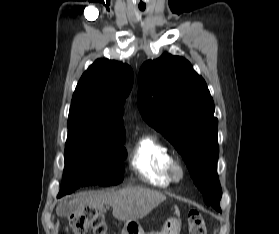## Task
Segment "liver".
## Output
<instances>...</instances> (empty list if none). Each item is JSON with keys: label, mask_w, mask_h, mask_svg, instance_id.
<instances>
[{"label": "liver", "mask_w": 279, "mask_h": 234, "mask_svg": "<svg viewBox=\"0 0 279 234\" xmlns=\"http://www.w3.org/2000/svg\"><path fill=\"white\" fill-rule=\"evenodd\" d=\"M166 200V196L143 187H127L113 192L84 193L69 203L57 207V214L66 205H87L105 211L104 205L113 208V217L119 221H137L147 216L155 207Z\"/></svg>", "instance_id": "liver-1"}]
</instances>
